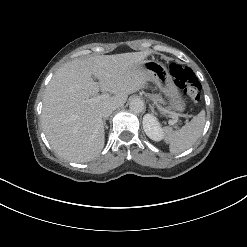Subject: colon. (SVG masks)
I'll use <instances>...</instances> for the list:
<instances>
[{
    "label": "colon",
    "instance_id": "5ec220e1",
    "mask_svg": "<svg viewBox=\"0 0 247 247\" xmlns=\"http://www.w3.org/2000/svg\"><path fill=\"white\" fill-rule=\"evenodd\" d=\"M170 73L175 84L182 89L183 93L193 102L200 99L201 85L195 73L187 66L172 63Z\"/></svg>",
    "mask_w": 247,
    "mask_h": 247
}]
</instances>
